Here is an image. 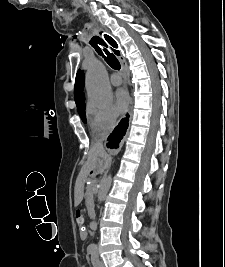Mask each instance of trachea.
<instances>
[{"label": "trachea", "instance_id": "obj_1", "mask_svg": "<svg viewBox=\"0 0 225 267\" xmlns=\"http://www.w3.org/2000/svg\"><path fill=\"white\" fill-rule=\"evenodd\" d=\"M111 40L110 42L108 41V43L113 46V47H117L116 42L109 37ZM90 44L94 47V49L97 51V53L101 56H103V58L105 59V61L108 63V65L115 69V70H119L121 68L120 63L118 61V59L116 58V56L113 53H110L108 51V46L107 44L104 42L103 39H101L99 36H94L91 40H90ZM115 53H118V51H115Z\"/></svg>", "mask_w": 225, "mask_h": 267}]
</instances>
